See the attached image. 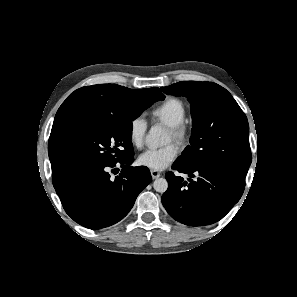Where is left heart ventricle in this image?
I'll return each instance as SVG.
<instances>
[{"mask_svg":"<svg viewBox=\"0 0 297 297\" xmlns=\"http://www.w3.org/2000/svg\"><path fill=\"white\" fill-rule=\"evenodd\" d=\"M172 140V136H171V134H170V132L168 133V135H167V142H170Z\"/></svg>","mask_w":297,"mask_h":297,"instance_id":"1","label":"left heart ventricle"}]
</instances>
